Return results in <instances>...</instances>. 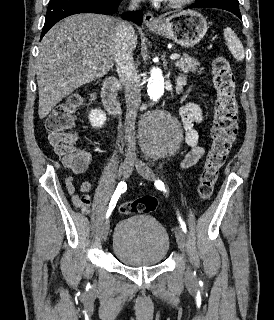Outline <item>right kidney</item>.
<instances>
[{"mask_svg":"<svg viewBox=\"0 0 274 320\" xmlns=\"http://www.w3.org/2000/svg\"><path fill=\"white\" fill-rule=\"evenodd\" d=\"M90 98L91 100H95L94 94H90ZM88 118L92 128H102L107 120V116L103 110H91Z\"/></svg>","mask_w":274,"mask_h":320,"instance_id":"ca27d5eb","label":"right kidney"}]
</instances>
